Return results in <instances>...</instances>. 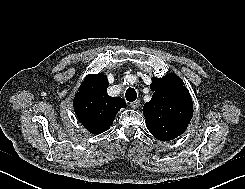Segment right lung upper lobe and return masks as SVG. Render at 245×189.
<instances>
[{
    "mask_svg": "<svg viewBox=\"0 0 245 189\" xmlns=\"http://www.w3.org/2000/svg\"><path fill=\"white\" fill-rule=\"evenodd\" d=\"M108 80L104 74L88 75L74 97V110L84 127L92 134L107 131L117 112L126 107L120 97L107 94Z\"/></svg>",
    "mask_w": 245,
    "mask_h": 189,
    "instance_id": "right-lung-upper-lobe-1",
    "label": "right lung upper lobe"
}]
</instances>
